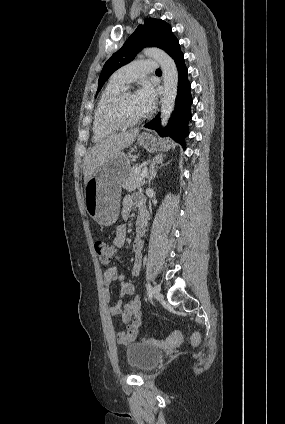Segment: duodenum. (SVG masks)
I'll return each mask as SVG.
<instances>
[{"mask_svg":"<svg viewBox=\"0 0 285 424\" xmlns=\"http://www.w3.org/2000/svg\"><path fill=\"white\" fill-rule=\"evenodd\" d=\"M137 224H138V232H139V234L140 235H143V233L145 231L146 224H147V218L146 217H141L138 220V223Z\"/></svg>","mask_w":285,"mask_h":424,"instance_id":"duodenum-1","label":"duodenum"}]
</instances>
